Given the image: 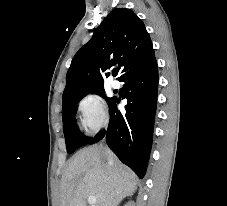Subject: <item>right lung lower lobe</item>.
Returning a JSON list of instances; mask_svg holds the SVG:
<instances>
[{
  "mask_svg": "<svg viewBox=\"0 0 227 206\" xmlns=\"http://www.w3.org/2000/svg\"><path fill=\"white\" fill-rule=\"evenodd\" d=\"M125 83L126 114L117 109L119 99L109 103L110 120L103 131L88 144L106 136L109 148L140 178L146 172L156 112L158 68L155 57L130 69L120 79Z\"/></svg>",
  "mask_w": 227,
  "mask_h": 206,
  "instance_id": "obj_1",
  "label": "right lung lower lobe"
}]
</instances>
